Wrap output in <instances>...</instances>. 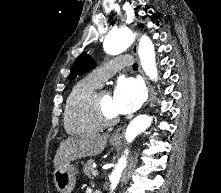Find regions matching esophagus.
<instances>
[{
    "label": "esophagus",
    "instance_id": "1",
    "mask_svg": "<svg viewBox=\"0 0 221 193\" xmlns=\"http://www.w3.org/2000/svg\"><path fill=\"white\" fill-rule=\"evenodd\" d=\"M137 48H138L137 43H134V45H133V47H132V52H133V54H134L135 56H137ZM140 72H141V74H142L143 77H144V80H145L146 85H147L148 93H149L148 100H147V102H146V104H145V106H146V105H148V104L150 103V101L152 100L153 91H152V88H151V85H150L149 81L147 80V77L144 75V73H143V71L141 70V68H140ZM124 131H125V127H122V128L117 129V130L111 135V139H113V140L120 139L121 136H122V134L124 133Z\"/></svg>",
    "mask_w": 221,
    "mask_h": 193
}]
</instances>
